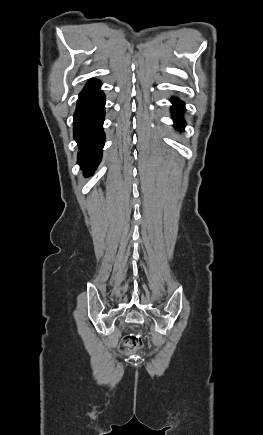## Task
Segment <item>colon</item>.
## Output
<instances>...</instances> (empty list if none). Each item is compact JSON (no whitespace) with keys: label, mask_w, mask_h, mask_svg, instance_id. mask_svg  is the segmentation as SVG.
I'll use <instances>...</instances> for the list:
<instances>
[{"label":"colon","mask_w":263,"mask_h":435,"mask_svg":"<svg viewBox=\"0 0 263 435\" xmlns=\"http://www.w3.org/2000/svg\"><path fill=\"white\" fill-rule=\"evenodd\" d=\"M140 346V339L135 334H127L120 341V350L124 353H129L138 349Z\"/></svg>","instance_id":"colon-1"}]
</instances>
